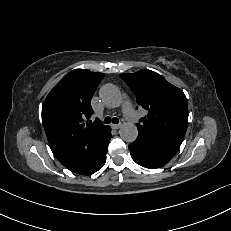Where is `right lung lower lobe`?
<instances>
[{
  "label": "right lung lower lobe",
  "instance_id": "98d812e1",
  "mask_svg": "<svg viewBox=\"0 0 231 231\" xmlns=\"http://www.w3.org/2000/svg\"><path fill=\"white\" fill-rule=\"evenodd\" d=\"M111 139V128L107 126L102 132L85 140V146L79 151L72 164H62L72 172L87 175L100 170L106 162V153Z\"/></svg>",
  "mask_w": 231,
  "mask_h": 231
}]
</instances>
